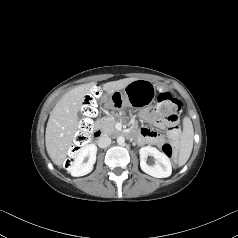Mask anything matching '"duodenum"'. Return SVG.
I'll use <instances>...</instances> for the list:
<instances>
[{"label": "duodenum", "instance_id": "410a0bca", "mask_svg": "<svg viewBox=\"0 0 238 238\" xmlns=\"http://www.w3.org/2000/svg\"><path fill=\"white\" fill-rule=\"evenodd\" d=\"M102 134H103V132L100 130V129H94L93 130V135L95 136V137H101L102 136Z\"/></svg>", "mask_w": 238, "mask_h": 238}]
</instances>
